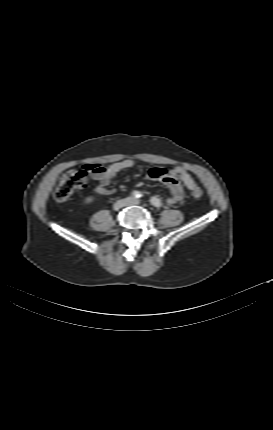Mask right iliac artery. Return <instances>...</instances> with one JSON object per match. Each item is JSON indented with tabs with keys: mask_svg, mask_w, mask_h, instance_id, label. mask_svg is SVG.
<instances>
[{
	"mask_svg": "<svg viewBox=\"0 0 273 430\" xmlns=\"http://www.w3.org/2000/svg\"><path fill=\"white\" fill-rule=\"evenodd\" d=\"M131 195L134 198H140L142 196V194L139 191H132Z\"/></svg>",
	"mask_w": 273,
	"mask_h": 430,
	"instance_id": "1",
	"label": "right iliac artery"
}]
</instances>
